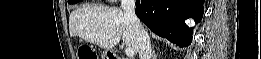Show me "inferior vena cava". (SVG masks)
<instances>
[{"instance_id": "obj_1", "label": "inferior vena cava", "mask_w": 261, "mask_h": 59, "mask_svg": "<svg viewBox=\"0 0 261 59\" xmlns=\"http://www.w3.org/2000/svg\"><path fill=\"white\" fill-rule=\"evenodd\" d=\"M122 8L126 18L131 22L138 41L139 59H151L152 48L148 32L135 14L136 0H122Z\"/></svg>"}]
</instances>
